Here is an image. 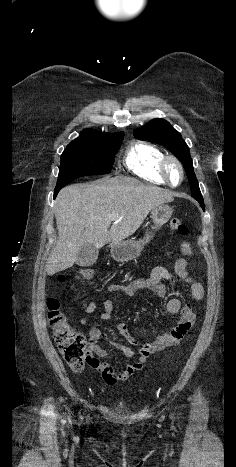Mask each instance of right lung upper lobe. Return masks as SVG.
I'll return each mask as SVG.
<instances>
[{
	"label": "right lung upper lobe",
	"mask_w": 236,
	"mask_h": 467,
	"mask_svg": "<svg viewBox=\"0 0 236 467\" xmlns=\"http://www.w3.org/2000/svg\"><path fill=\"white\" fill-rule=\"evenodd\" d=\"M93 134H100V135H116V134H105V133H102V132H98L96 130H93V129H86L84 130L81 135H84V136H89V135H93ZM118 134H123V132L121 133H118Z\"/></svg>",
	"instance_id": "1"
}]
</instances>
